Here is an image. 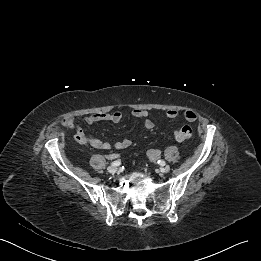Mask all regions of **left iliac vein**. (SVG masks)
Returning <instances> with one entry per match:
<instances>
[{
    "mask_svg": "<svg viewBox=\"0 0 261 261\" xmlns=\"http://www.w3.org/2000/svg\"><path fill=\"white\" fill-rule=\"evenodd\" d=\"M169 170H170V166L169 165H163L161 168H160V171L162 172V173H167V172H169Z\"/></svg>",
    "mask_w": 261,
    "mask_h": 261,
    "instance_id": "obj_1",
    "label": "left iliac vein"
}]
</instances>
